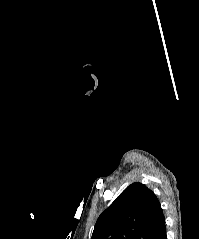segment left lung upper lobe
Masks as SVG:
<instances>
[{
  "mask_svg": "<svg viewBox=\"0 0 199 239\" xmlns=\"http://www.w3.org/2000/svg\"><path fill=\"white\" fill-rule=\"evenodd\" d=\"M162 216L156 195L135 182L101 213L91 239H150Z\"/></svg>",
  "mask_w": 199,
  "mask_h": 239,
  "instance_id": "1",
  "label": "left lung upper lobe"
}]
</instances>
